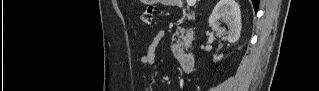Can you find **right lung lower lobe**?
Here are the masks:
<instances>
[{
  "label": "right lung lower lobe",
  "instance_id": "obj_1",
  "mask_svg": "<svg viewBox=\"0 0 319 91\" xmlns=\"http://www.w3.org/2000/svg\"><path fill=\"white\" fill-rule=\"evenodd\" d=\"M251 1H252L253 6H254L255 13H257L259 0H251Z\"/></svg>",
  "mask_w": 319,
  "mask_h": 91
}]
</instances>
